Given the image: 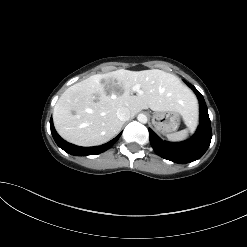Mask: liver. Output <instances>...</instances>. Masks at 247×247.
Masks as SVG:
<instances>
[{"mask_svg":"<svg viewBox=\"0 0 247 247\" xmlns=\"http://www.w3.org/2000/svg\"><path fill=\"white\" fill-rule=\"evenodd\" d=\"M137 84L140 91L133 95L132 88ZM120 107H127L131 116L150 108L175 111L185 122L197 121V102L177 76L159 69H119L70 86L54 107L55 129L70 143L101 145L120 132L123 121L116 115Z\"/></svg>","mask_w":247,"mask_h":247,"instance_id":"liver-1","label":"liver"}]
</instances>
